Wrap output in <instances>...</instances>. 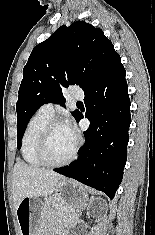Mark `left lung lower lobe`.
Returning a JSON list of instances; mask_svg holds the SVG:
<instances>
[{
	"label": "left lung lower lobe",
	"instance_id": "obj_1",
	"mask_svg": "<svg viewBox=\"0 0 155 235\" xmlns=\"http://www.w3.org/2000/svg\"><path fill=\"white\" fill-rule=\"evenodd\" d=\"M121 58L85 93V144L72 164L54 169L67 177L103 191L113 199L123 177L127 159L130 99ZM83 118L80 113L77 122Z\"/></svg>",
	"mask_w": 155,
	"mask_h": 235
}]
</instances>
